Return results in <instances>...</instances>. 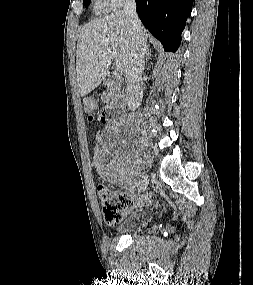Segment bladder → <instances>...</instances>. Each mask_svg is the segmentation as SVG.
<instances>
[{
  "mask_svg": "<svg viewBox=\"0 0 253 285\" xmlns=\"http://www.w3.org/2000/svg\"><path fill=\"white\" fill-rule=\"evenodd\" d=\"M156 213L153 210L136 208L130 210L116 226V232L121 235H131L147 229L153 224Z\"/></svg>",
  "mask_w": 253,
  "mask_h": 285,
  "instance_id": "31cf9c89",
  "label": "bladder"
}]
</instances>
